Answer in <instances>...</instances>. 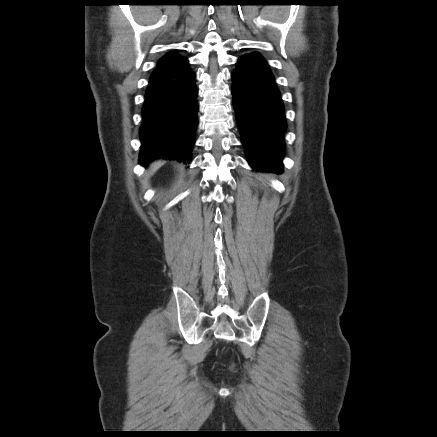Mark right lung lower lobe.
<instances>
[{"instance_id": "98d812e1", "label": "right lung lower lobe", "mask_w": 437, "mask_h": 437, "mask_svg": "<svg viewBox=\"0 0 437 437\" xmlns=\"http://www.w3.org/2000/svg\"><path fill=\"white\" fill-rule=\"evenodd\" d=\"M196 74L180 56L153 71L142 107L140 163L191 160L198 126Z\"/></svg>"}]
</instances>
